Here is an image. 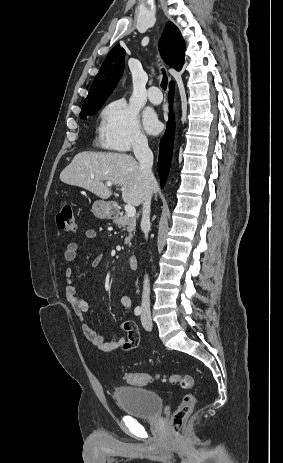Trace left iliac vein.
<instances>
[{
	"label": "left iliac vein",
	"instance_id": "4c4485c4",
	"mask_svg": "<svg viewBox=\"0 0 283 463\" xmlns=\"http://www.w3.org/2000/svg\"><path fill=\"white\" fill-rule=\"evenodd\" d=\"M141 322H142V325L143 327L146 329V330H151L152 329V319H151V315L149 312H143L142 315H141Z\"/></svg>",
	"mask_w": 283,
	"mask_h": 463
}]
</instances>
